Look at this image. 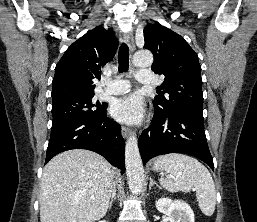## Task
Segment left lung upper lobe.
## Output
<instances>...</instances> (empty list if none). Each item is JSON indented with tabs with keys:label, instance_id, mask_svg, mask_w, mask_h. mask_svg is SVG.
<instances>
[{
	"label": "left lung upper lobe",
	"instance_id": "5c2ea615",
	"mask_svg": "<svg viewBox=\"0 0 257 222\" xmlns=\"http://www.w3.org/2000/svg\"><path fill=\"white\" fill-rule=\"evenodd\" d=\"M144 48L154 55L152 70L164 75L162 92L154 98V108L162 113L203 114L201 66L195 51L184 38L159 23L144 28Z\"/></svg>",
	"mask_w": 257,
	"mask_h": 222
}]
</instances>
